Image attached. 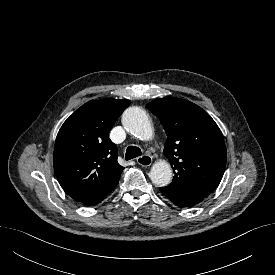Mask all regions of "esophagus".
<instances>
[{
  "label": "esophagus",
  "instance_id": "34e87169",
  "mask_svg": "<svg viewBox=\"0 0 275 275\" xmlns=\"http://www.w3.org/2000/svg\"><path fill=\"white\" fill-rule=\"evenodd\" d=\"M137 163L143 167H148L152 164V157L149 155H142L136 159Z\"/></svg>",
  "mask_w": 275,
  "mask_h": 275
}]
</instances>
